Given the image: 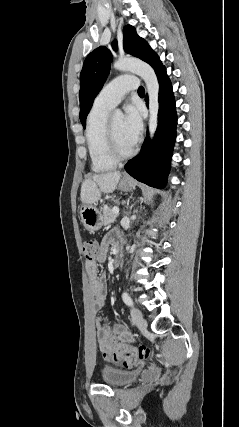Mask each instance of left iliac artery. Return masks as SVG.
Instances as JSON below:
<instances>
[{
	"mask_svg": "<svg viewBox=\"0 0 239 427\" xmlns=\"http://www.w3.org/2000/svg\"><path fill=\"white\" fill-rule=\"evenodd\" d=\"M122 299H123L124 303L127 304L128 306L133 305V301L127 292H123Z\"/></svg>",
	"mask_w": 239,
	"mask_h": 427,
	"instance_id": "1",
	"label": "left iliac artery"
}]
</instances>
